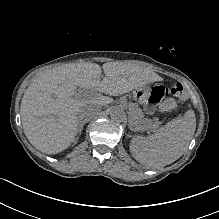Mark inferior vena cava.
Returning <instances> with one entry per match:
<instances>
[{"label": "inferior vena cava", "instance_id": "inferior-vena-cava-1", "mask_svg": "<svg viewBox=\"0 0 219 219\" xmlns=\"http://www.w3.org/2000/svg\"><path fill=\"white\" fill-rule=\"evenodd\" d=\"M97 110L92 105H87L85 107H82L77 112V117L82 122H87L89 120H92L96 117Z\"/></svg>", "mask_w": 219, "mask_h": 219}]
</instances>
